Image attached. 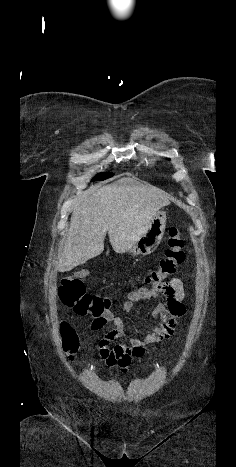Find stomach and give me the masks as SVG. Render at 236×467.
I'll use <instances>...</instances> for the list:
<instances>
[{
	"mask_svg": "<svg viewBox=\"0 0 236 467\" xmlns=\"http://www.w3.org/2000/svg\"><path fill=\"white\" fill-rule=\"evenodd\" d=\"M165 226L166 213L164 211H158L128 253L133 256H138L149 255L154 252L162 240Z\"/></svg>",
	"mask_w": 236,
	"mask_h": 467,
	"instance_id": "stomach-1",
	"label": "stomach"
}]
</instances>
